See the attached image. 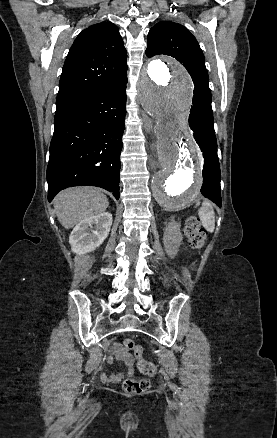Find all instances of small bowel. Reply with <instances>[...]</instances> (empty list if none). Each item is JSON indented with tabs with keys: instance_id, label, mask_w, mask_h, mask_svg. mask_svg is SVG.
<instances>
[{
	"instance_id": "small-bowel-1",
	"label": "small bowel",
	"mask_w": 277,
	"mask_h": 438,
	"mask_svg": "<svg viewBox=\"0 0 277 438\" xmlns=\"http://www.w3.org/2000/svg\"><path fill=\"white\" fill-rule=\"evenodd\" d=\"M115 359L122 362L126 370L125 372L114 373L111 375L112 381H119L124 376H132L135 373L134 368V360L132 356L125 350V348L121 345H116L114 348ZM113 361L112 358H109L108 362L111 363Z\"/></svg>"
}]
</instances>
